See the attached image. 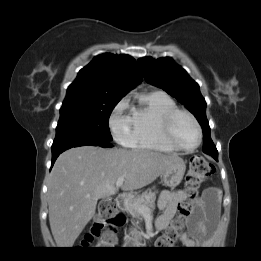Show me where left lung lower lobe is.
I'll return each instance as SVG.
<instances>
[{"mask_svg":"<svg viewBox=\"0 0 261 261\" xmlns=\"http://www.w3.org/2000/svg\"><path fill=\"white\" fill-rule=\"evenodd\" d=\"M204 152V151H203ZM206 153V152H204ZM207 154V153H206ZM216 161H218V156H215V155H211Z\"/></svg>","mask_w":261,"mask_h":261,"instance_id":"obj_1","label":"left lung lower lobe"}]
</instances>
